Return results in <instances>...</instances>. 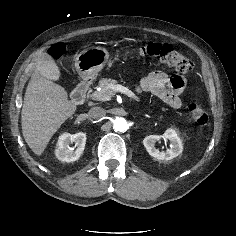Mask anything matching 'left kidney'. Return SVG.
<instances>
[{"label": "left kidney", "mask_w": 236, "mask_h": 236, "mask_svg": "<svg viewBox=\"0 0 236 236\" xmlns=\"http://www.w3.org/2000/svg\"><path fill=\"white\" fill-rule=\"evenodd\" d=\"M161 137L170 140L171 142L170 149H167L166 151H159L155 147V143ZM143 145L146 148L147 152L152 157L158 160H166V161L171 160L179 156L183 151L182 141L174 129H167L162 136L159 135L146 136L143 140Z\"/></svg>", "instance_id": "left-kidney-1"}]
</instances>
